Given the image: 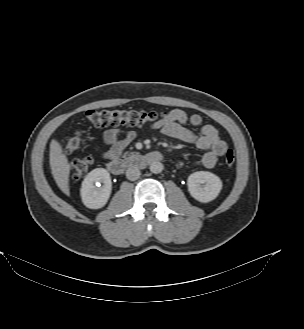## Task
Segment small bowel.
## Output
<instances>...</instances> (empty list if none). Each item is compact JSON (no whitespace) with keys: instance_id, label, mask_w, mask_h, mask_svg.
I'll use <instances>...</instances> for the list:
<instances>
[{"instance_id":"small-bowel-1","label":"small bowel","mask_w":304,"mask_h":329,"mask_svg":"<svg viewBox=\"0 0 304 329\" xmlns=\"http://www.w3.org/2000/svg\"><path fill=\"white\" fill-rule=\"evenodd\" d=\"M189 124L199 128L197 132L185 127ZM163 135L195 145L204 151L201 158L195 163L197 166L212 168L217 160L227 150V143L219 136L218 130L211 124H203L201 115L188 114L180 108L166 113L164 119L154 125ZM133 130L110 128L103 134L101 145L106 147L102 155L107 160H114L121 156L124 149L135 139Z\"/></svg>"}]
</instances>
